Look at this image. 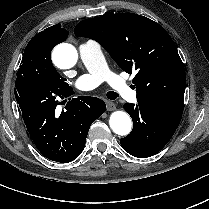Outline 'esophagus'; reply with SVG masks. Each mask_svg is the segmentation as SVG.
I'll list each match as a JSON object with an SVG mask.
<instances>
[{
    "instance_id": "obj_1",
    "label": "esophagus",
    "mask_w": 209,
    "mask_h": 209,
    "mask_svg": "<svg viewBox=\"0 0 209 209\" xmlns=\"http://www.w3.org/2000/svg\"><path fill=\"white\" fill-rule=\"evenodd\" d=\"M106 106L108 111H113L115 110V104L111 101L106 100Z\"/></svg>"
}]
</instances>
